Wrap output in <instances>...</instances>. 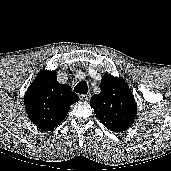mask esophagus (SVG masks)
I'll list each match as a JSON object with an SVG mask.
<instances>
[{
  "label": "esophagus",
  "mask_w": 171,
  "mask_h": 171,
  "mask_svg": "<svg viewBox=\"0 0 171 171\" xmlns=\"http://www.w3.org/2000/svg\"><path fill=\"white\" fill-rule=\"evenodd\" d=\"M91 95L90 94H80L79 98L84 101H88L90 99Z\"/></svg>",
  "instance_id": "1"
}]
</instances>
